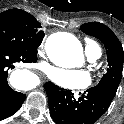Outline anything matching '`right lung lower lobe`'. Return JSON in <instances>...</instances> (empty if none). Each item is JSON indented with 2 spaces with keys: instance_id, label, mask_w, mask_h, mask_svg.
Returning <instances> with one entry per match:
<instances>
[{
  "instance_id": "1",
  "label": "right lung lower lobe",
  "mask_w": 124,
  "mask_h": 124,
  "mask_svg": "<svg viewBox=\"0 0 124 124\" xmlns=\"http://www.w3.org/2000/svg\"><path fill=\"white\" fill-rule=\"evenodd\" d=\"M37 54H27L21 51L0 46V120L12 116L24 102L26 95L14 91L7 82V76L18 63H34Z\"/></svg>"
}]
</instances>
